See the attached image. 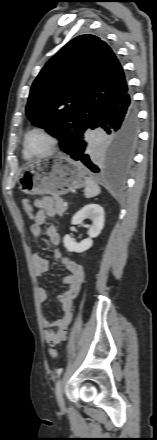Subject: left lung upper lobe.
Instances as JSON below:
<instances>
[{
    "label": "left lung upper lobe",
    "mask_w": 157,
    "mask_h": 440,
    "mask_svg": "<svg viewBox=\"0 0 157 440\" xmlns=\"http://www.w3.org/2000/svg\"><path fill=\"white\" fill-rule=\"evenodd\" d=\"M127 89L123 68L111 48L97 36L80 35L56 53L36 77L26 115L68 152L96 112Z\"/></svg>",
    "instance_id": "5c2ea615"
}]
</instances>
